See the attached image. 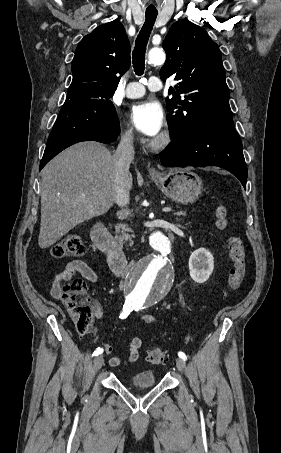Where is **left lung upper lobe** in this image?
I'll return each mask as SVG.
<instances>
[{
	"label": "left lung upper lobe",
	"mask_w": 281,
	"mask_h": 453,
	"mask_svg": "<svg viewBox=\"0 0 281 453\" xmlns=\"http://www.w3.org/2000/svg\"><path fill=\"white\" fill-rule=\"evenodd\" d=\"M163 48L167 58L160 77L178 81L169 89L173 98L166 100L171 139L232 122L221 52L206 30L179 20L169 29Z\"/></svg>",
	"instance_id": "1"
}]
</instances>
